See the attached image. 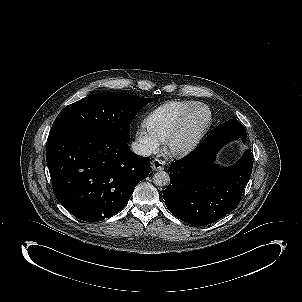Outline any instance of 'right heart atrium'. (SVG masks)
Instances as JSON below:
<instances>
[{
    "instance_id": "obj_1",
    "label": "right heart atrium",
    "mask_w": 302,
    "mask_h": 302,
    "mask_svg": "<svg viewBox=\"0 0 302 302\" xmlns=\"http://www.w3.org/2000/svg\"><path fill=\"white\" fill-rule=\"evenodd\" d=\"M161 143V139L147 132L144 126H140L136 130L137 149L141 154L147 155L156 152Z\"/></svg>"
}]
</instances>
